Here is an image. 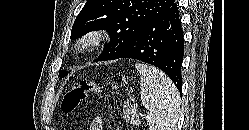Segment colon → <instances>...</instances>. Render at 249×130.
<instances>
[{"mask_svg": "<svg viewBox=\"0 0 249 130\" xmlns=\"http://www.w3.org/2000/svg\"><path fill=\"white\" fill-rule=\"evenodd\" d=\"M101 88L89 81H80L75 83L71 89L64 95L61 102V111L64 114L73 112L81 102L90 94H101Z\"/></svg>", "mask_w": 249, "mask_h": 130, "instance_id": "5ec220e1", "label": "colon"}]
</instances>
